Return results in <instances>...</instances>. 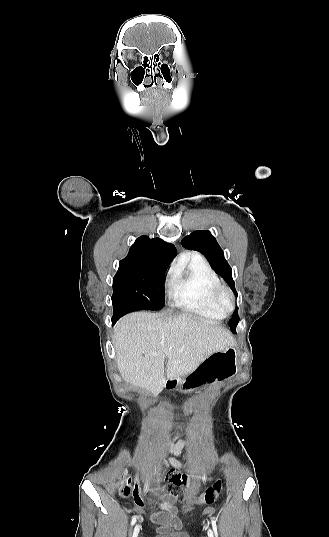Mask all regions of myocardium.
Wrapping results in <instances>:
<instances>
[{
    "mask_svg": "<svg viewBox=\"0 0 329 537\" xmlns=\"http://www.w3.org/2000/svg\"><path fill=\"white\" fill-rule=\"evenodd\" d=\"M224 295H227L231 301V304L229 307H226L223 304L222 299ZM212 299H213L215 306L224 314L232 313L236 308V297L233 291L225 285L220 284L214 288L212 292Z\"/></svg>",
    "mask_w": 329,
    "mask_h": 537,
    "instance_id": "obj_1",
    "label": "myocardium"
}]
</instances>
